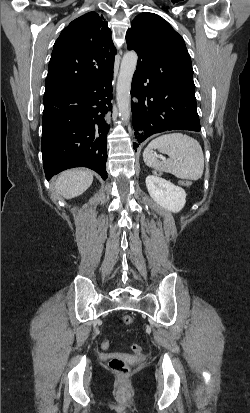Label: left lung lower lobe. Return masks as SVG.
<instances>
[{"label":"left lung lower lobe","mask_w":250,"mask_h":413,"mask_svg":"<svg viewBox=\"0 0 250 413\" xmlns=\"http://www.w3.org/2000/svg\"><path fill=\"white\" fill-rule=\"evenodd\" d=\"M137 63L132 79L131 109L138 145L152 134L168 130L200 131L194 82H177L171 76H152Z\"/></svg>","instance_id":"left-lung-lower-lobe-1"}]
</instances>
